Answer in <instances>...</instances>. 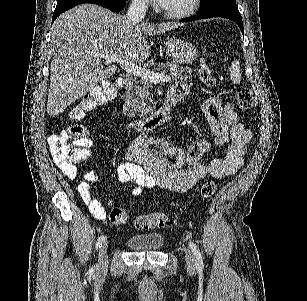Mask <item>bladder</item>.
<instances>
[{"label": "bladder", "instance_id": "bladder-1", "mask_svg": "<svg viewBox=\"0 0 307 301\" xmlns=\"http://www.w3.org/2000/svg\"><path fill=\"white\" fill-rule=\"evenodd\" d=\"M127 245L131 251H157L163 245V236L153 234L131 235L127 240Z\"/></svg>", "mask_w": 307, "mask_h": 301}]
</instances>
